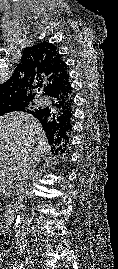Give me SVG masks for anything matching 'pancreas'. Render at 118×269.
<instances>
[{"label":"pancreas","mask_w":118,"mask_h":269,"mask_svg":"<svg viewBox=\"0 0 118 269\" xmlns=\"http://www.w3.org/2000/svg\"><path fill=\"white\" fill-rule=\"evenodd\" d=\"M10 190V184L8 183V179L3 178L0 179V191H8Z\"/></svg>","instance_id":"pancreas-1"}]
</instances>
